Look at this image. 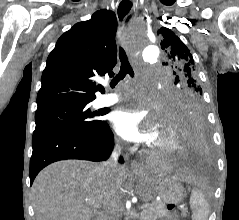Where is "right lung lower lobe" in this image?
<instances>
[{
    "mask_svg": "<svg viewBox=\"0 0 239 220\" xmlns=\"http://www.w3.org/2000/svg\"><path fill=\"white\" fill-rule=\"evenodd\" d=\"M114 146V135L105 122L96 132L67 129L35 130L30 160V183L48 164L65 159L102 161L108 159ZM123 162L121 158L119 160Z\"/></svg>",
    "mask_w": 239,
    "mask_h": 220,
    "instance_id": "right-lung-lower-lobe-1",
    "label": "right lung lower lobe"
}]
</instances>
